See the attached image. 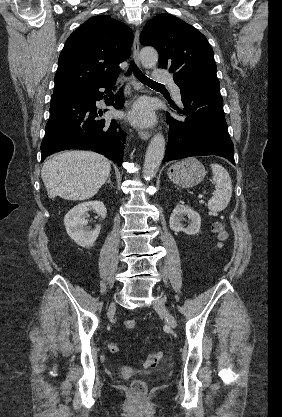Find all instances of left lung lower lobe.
<instances>
[{"mask_svg":"<svg viewBox=\"0 0 282 417\" xmlns=\"http://www.w3.org/2000/svg\"><path fill=\"white\" fill-rule=\"evenodd\" d=\"M180 90L184 108L172 107L182 118L177 120L167 115L169 137L163 163L191 156L217 155L235 164L220 85L191 81Z\"/></svg>","mask_w":282,"mask_h":417,"instance_id":"0a47b994","label":"left lung lower lobe"}]
</instances>
